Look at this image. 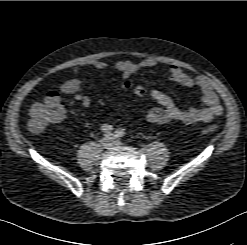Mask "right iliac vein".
Masks as SVG:
<instances>
[{
	"label": "right iliac vein",
	"mask_w": 247,
	"mask_h": 245,
	"mask_svg": "<svg viewBox=\"0 0 247 245\" xmlns=\"http://www.w3.org/2000/svg\"><path fill=\"white\" fill-rule=\"evenodd\" d=\"M101 143L104 147L109 148L114 144V138L111 135H105L102 138Z\"/></svg>",
	"instance_id": "right-iliac-vein-1"
}]
</instances>
